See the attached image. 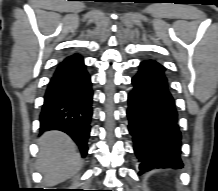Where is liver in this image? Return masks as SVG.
Masks as SVG:
<instances>
[{
    "label": "liver",
    "mask_w": 218,
    "mask_h": 191,
    "mask_svg": "<svg viewBox=\"0 0 218 191\" xmlns=\"http://www.w3.org/2000/svg\"><path fill=\"white\" fill-rule=\"evenodd\" d=\"M38 170L46 186H55L74 176L81 168V156L72 139L63 132L49 131L38 140Z\"/></svg>",
    "instance_id": "6515ba94"
}]
</instances>
